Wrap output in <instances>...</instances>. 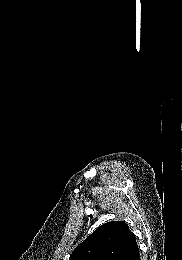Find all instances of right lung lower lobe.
I'll use <instances>...</instances> for the list:
<instances>
[{
	"label": "right lung lower lobe",
	"instance_id": "obj_1",
	"mask_svg": "<svg viewBox=\"0 0 182 260\" xmlns=\"http://www.w3.org/2000/svg\"><path fill=\"white\" fill-rule=\"evenodd\" d=\"M133 260H140L139 254Z\"/></svg>",
	"mask_w": 182,
	"mask_h": 260
}]
</instances>
